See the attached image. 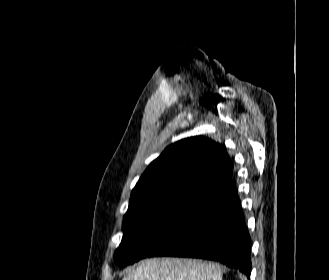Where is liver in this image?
Returning a JSON list of instances; mask_svg holds the SVG:
<instances>
[{
  "label": "liver",
  "instance_id": "liver-1",
  "mask_svg": "<svg viewBox=\"0 0 329 280\" xmlns=\"http://www.w3.org/2000/svg\"><path fill=\"white\" fill-rule=\"evenodd\" d=\"M122 280H222L219 264L183 258H152L142 261Z\"/></svg>",
  "mask_w": 329,
  "mask_h": 280
}]
</instances>
